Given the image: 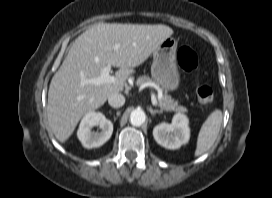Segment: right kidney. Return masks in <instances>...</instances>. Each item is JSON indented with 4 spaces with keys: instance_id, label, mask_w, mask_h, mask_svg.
<instances>
[{
    "instance_id": "right-kidney-1",
    "label": "right kidney",
    "mask_w": 272,
    "mask_h": 198,
    "mask_svg": "<svg viewBox=\"0 0 272 198\" xmlns=\"http://www.w3.org/2000/svg\"><path fill=\"white\" fill-rule=\"evenodd\" d=\"M99 126L100 132L91 129ZM113 133V124L101 112H89L81 120L77 137L85 148L102 146L108 141Z\"/></svg>"
}]
</instances>
